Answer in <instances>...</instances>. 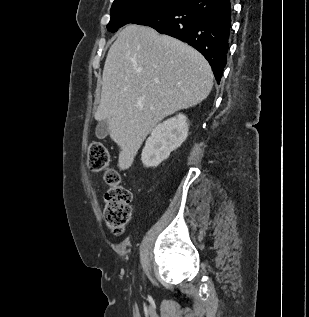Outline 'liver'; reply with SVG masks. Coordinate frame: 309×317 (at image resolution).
I'll list each match as a JSON object with an SVG mask.
<instances>
[{
    "label": "liver",
    "instance_id": "6515ba94",
    "mask_svg": "<svg viewBox=\"0 0 309 317\" xmlns=\"http://www.w3.org/2000/svg\"><path fill=\"white\" fill-rule=\"evenodd\" d=\"M212 86L211 67L194 48L150 27L127 25L108 51L95 113L121 150L118 166L129 168L159 121L201 103Z\"/></svg>",
    "mask_w": 309,
    "mask_h": 317
}]
</instances>
